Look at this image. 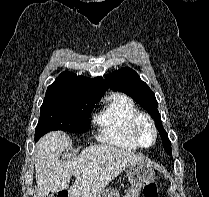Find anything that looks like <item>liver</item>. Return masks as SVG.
Segmentation results:
<instances>
[{
    "mask_svg": "<svg viewBox=\"0 0 209 197\" xmlns=\"http://www.w3.org/2000/svg\"><path fill=\"white\" fill-rule=\"evenodd\" d=\"M71 143L62 131L47 133L37 142L34 157L36 197L68 189L72 176L76 180L68 190L69 197H95L127 167L144 161L133 152L110 144L89 146L78 156L62 161L60 156Z\"/></svg>",
    "mask_w": 209,
    "mask_h": 197,
    "instance_id": "liver-1",
    "label": "liver"
}]
</instances>
